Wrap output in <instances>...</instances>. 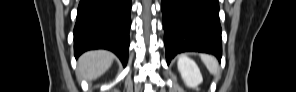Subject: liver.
<instances>
[{"mask_svg": "<svg viewBox=\"0 0 296 92\" xmlns=\"http://www.w3.org/2000/svg\"><path fill=\"white\" fill-rule=\"evenodd\" d=\"M113 53L106 50L85 52L78 60L77 75L92 81L103 75L112 65Z\"/></svg>", "mask_w": 296, "mask_h": 92, "instance_id": "liver-1", "label": "liver"}]
</instances>
